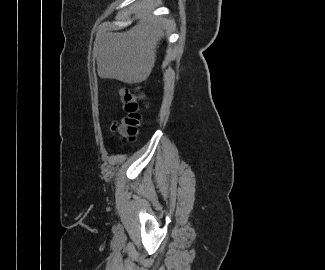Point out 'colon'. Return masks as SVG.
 <instances>
[{
  "label": "colon",
  "instance_id": "5ec220e1",
  "mask_svg": "<svg viewBox=\"0 0 325 270\" xmlns=\"http://www.w3.org/2000/svg\"><path fill=\"white\" fill-rule=\"evenodd\" d=\"M119 94L124 104V109L127 116L121 121L120 124L115 126V129L125 137L134 140L138 133V128L141 123V100L143 95L134 89L123 87L120 89Z\"/></svg>",
  "mask_w": 325,
  "mask_h": 270
}]
</instances>
